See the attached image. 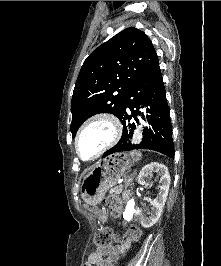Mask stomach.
<instances>
[{
	"label": "stomach",
	"mask_w": 221,
	"mask_h": 266,
	"mask_svg": "<svg viewBox=\"0 0 221 266\" xmlns=\"http://www.w3.org/2000/svg\"><path fill=\"white\" fill-rule=\"evenodd\" d=\"M141 154L116 153L99 160L81 184V197L88 205L100 203L105 193L123 175L131 160L138 161Z\"/></svg>",
	"instance_id": "1"
}]
</instances>
